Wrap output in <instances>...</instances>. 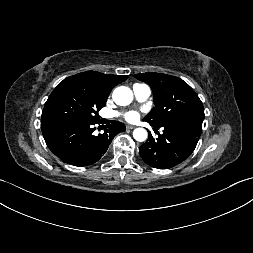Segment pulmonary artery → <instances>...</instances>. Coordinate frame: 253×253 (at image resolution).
Masks as SVG:
<instances>
[{
  "mask_svg": "<svg viewBox=\"0 0 253 253\" xmlns=\"http://www.w3.org/2000/svg\"><path fill=\"white\" fill-rule=\"evenodd\" d=\"M133 92L137 101L144 102L150 97L151 89L146 84H134Z\"/></svg>",
  "mask_w": 253,
  "mask_h": 253,
  "instance_id": "e3ab8cb5",
  "label": "pulmonary artery"
}]
</instances>
